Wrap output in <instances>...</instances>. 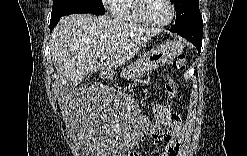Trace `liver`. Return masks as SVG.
<instances>
[{"mask_svg": "<svg viewBox=\"0 0 247 156\" xmlns=\"http://www.w3.org/2000/svg\"><path fill=\"white\" fill-rule=\"evenodd\" d=\"M159 32L107 16H66L56 25L50 39L60 87L69 81L78 83L98 70L111 71L125 64Z\"/></svg>", "mask_w": 247, "mask_h": 156, "instance_id": "6515ba94", "label": "liver"}]
</instances>
